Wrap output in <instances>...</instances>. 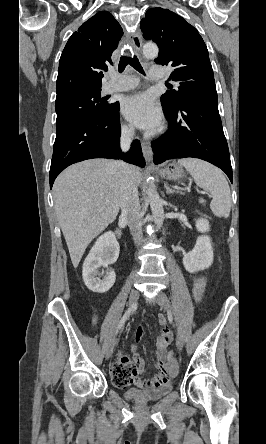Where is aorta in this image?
Returning a JSON list of instances; mask_svg holds the SVG:
<instances>
[{"mask_svg":"<svg viewBox=\"0 0 266 444\" xmlns=\"http://www.w3.org/2000/svg\"><path fill=\"white\" fill-rule=\"evenodd\" d=\"M159 49L156 44L146 43L143 46V55L146 58L152 59L158 56ZM147 198L150 203V208L157 227H161L164 221V209L162 199L159 197L155 186H149L147 190Z\"/></svg>","mask_w":266,"mask_h":444,"instance_id":"obj_1","label":"aorta"}]
</instances>
